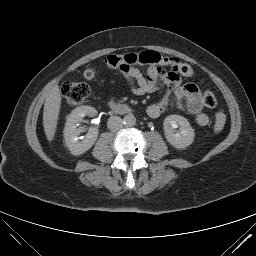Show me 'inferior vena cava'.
I'll return each mask as SVG.
<instances>
[{"instance_id": "602c4592", "label": "inferior vena cava", "mask_w": 256, "mask_h": 256, "mask_svg": "<svg viewBox=\"0 0 256 256\" xmlns=\"http://www.w3.org/2000/svg\"><path fill=\"white\" fill-rule=\"evenodd\" d=\"M107 126L112 132L123 128V120L119 116H112L108 119Z\"/></svg>"}]
</instances>
